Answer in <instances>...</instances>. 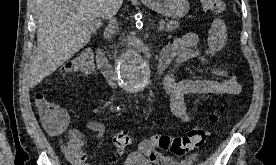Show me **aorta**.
Segmentation results:
<instances>
[{"label":"aorta","instance_id":"1","mask_svg":"<svg viewBox=\"0 0 276 165\" xmlns=\"http://www.w3.org/2000/svg\"><path fill=\"white\" fill-rule=\"evenodd\" d=\"M118 72L125 88L139 90L147 79L148 65L134 49H128L121 57Z\"/></svg>","mask_w":276,"mask_h":165}]
</instances>
